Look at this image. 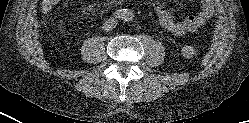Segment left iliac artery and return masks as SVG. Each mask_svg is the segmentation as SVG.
Returning a JSON list of instances; mask_svg holds the SVG:
<instances>
[{
    "mask_svg": "<svg viewBox=\"0 0 249 123\" xmlns=\"http://www.w3.org/2000/svg\"><path fill=\"white\" fill-rule=\"evenodd\" d=\"M132 19V14L130 12L126 13L125 21H130Z\"/></svg>",
    "mask_w": 249,
    "mask_h": 123,
    "instance_id": "1",
    "label": "left iliac artery"
}]
</instances>
